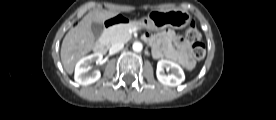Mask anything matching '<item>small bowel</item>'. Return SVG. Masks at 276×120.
Instances as JSON below:
<instances>
[{"mask_svg":"<svg viewBox=\"0 0 276 120\" xmlns=\"http://www.w3.org/2000/svg\"><path fill=\"white\" fill-rule=\"evenodd\" d=\"M144 38L150 44L154 57L176 61L186 69L194 67L189 44L174 31L165 30L157 35L146 34Z\"/></svg>","mask_w":276,"mask_h":120,"instance_id":"c3829d8e","label":"small bowel"}]
</instances>
